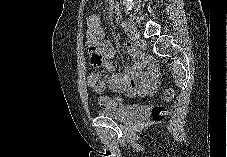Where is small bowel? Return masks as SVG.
<instances>
[{
    "mask_svg": "<svg viewBox=\"0 0 227 157\" xmlns=\"http://www.w3.org/2000/svg\"><path fill=\"white\" fill-rule=\"evenodd\" d=\"M87 42L90 62H101L98 65L92 64L102 66L108 71L107 75L97 73L102 80L103 90L108 87L114 92L127 93L131 96L136 93L147 94L154 90L158 83L157 71L152 65H148L144 69L143 58L130 42L127 43L126 47L132 66L124 71H116L115 64L112 61L115 57V49L112 43L105 39L101 21L97 15L89 17Z\"/></svg>",
    "mask_w": 227,
    "mask_h": 157,
    "instance_id": "1",
    "label": "small bowel"
}]
</instances>
